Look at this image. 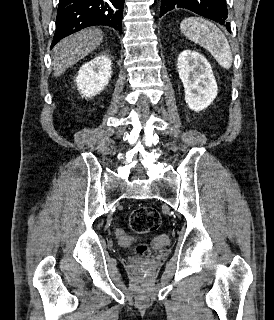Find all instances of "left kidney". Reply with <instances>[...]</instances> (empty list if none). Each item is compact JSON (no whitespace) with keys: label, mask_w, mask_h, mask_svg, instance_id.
<instances>
[{"label":"left kidney","mask_w":274,"mask_h":320,"mask_svg":"<svg viewBox=\"0 0 274 320\" xmlns=\"http://www.w3.org/2000/svg\"><path fill=\"white\" fill-rule=\"evenodd\" d=\"M177 68L188 108L194 112L208 108L218 94V86L205 56L184 50L179 54Z\"/></svg>","instance_id":"1"}]
</instances>
